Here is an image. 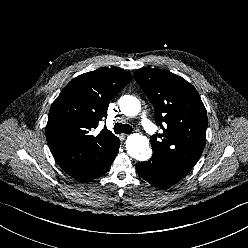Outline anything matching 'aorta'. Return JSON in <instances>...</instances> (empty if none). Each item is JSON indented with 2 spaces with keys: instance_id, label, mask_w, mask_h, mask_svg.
Here are the masks:
<instances>
[{
  "instance_id": "1",
  "label": "aorta",
  "mask_w": 248,
  "mask_h": 248,
  "mask_svg": "<svg viewBox=\"0 0 248 248\" xmlns=\"http://www.w3.org/2000/svg\"><path fill=\"white\" fill-rule=\"evenodd\" d=\"M118 104L121 112L126 116H135L141 110L140 101L136 97L130 95L122 96L119 99ZM126 148L128 154L139 161L148 160L152 154L149 149L148 138L138 133L128 136Z\"/></svg>"
}]
</instances>
